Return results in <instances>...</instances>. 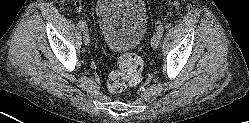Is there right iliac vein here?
<instances>
[{
  "instance_id": "63e3f726",
  "label": "right iliac vein",
  "mask_w": 249,
  "mask_h": 123,
  "mask_svg": "<svg viewBox=\"0 0 249 123\" xmlns=\"http://www.w3.org/2000/svg\"><path fill=\"white\" fill-rule=\"evenodd\" d=\"M83 42L85 45H89L90 43V34L87 30H84L83 32Z\"/></svg>"
}]
</instances>
